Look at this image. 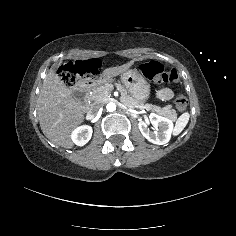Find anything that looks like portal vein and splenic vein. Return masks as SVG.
Segmentation results:
<instances>
[{
  "instance_id": "obj_1",
  "label": "portal vein and splenic vein",
  "mask_w": 236,
  "mask_h": 236,
  "mask_svg": "<svg viewBox=\"0 0 236 236\" xmlns=\"http://www.w3.org/2000/svg\"><path fill=\"white\" fill-rule=\"evenodd\" d=\"M140 109H142V110H154V108L152 106H149V105L140 106Z\"/></svg>"
}]
</instances>
